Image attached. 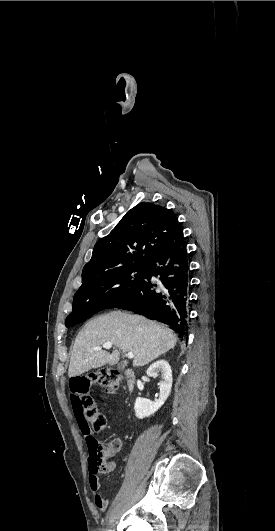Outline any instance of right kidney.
I'll list each match as a JSON object with an SVG mask.
<instances>
[{
  "mask_svg": "<svg viewBox=\"0 0 275 531\" xmlns=\"http://www.w3.org/2000/svg\"><path fill=\"white\" fill-rule=\"evenodd\" d=\"M146 373L148 377H158V373H162L163 381L159 383L160 395L158 401H155V403L154 401H149V399L137 397L134 405L135 417L137 419H145V417L154 415L164 405L166 399H168L173 383L171 367L168 361H164V359H160V361H156V363L150 365Z\"/></svg>",
  "mask_w": 275,
  "mask_h": 531,
  "instance_id": "right-kidney-1",
  "label": "right kidney"
}]
</instances>
